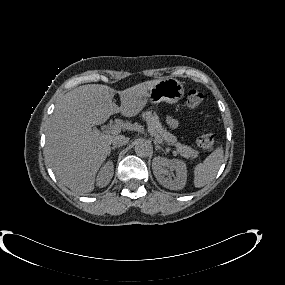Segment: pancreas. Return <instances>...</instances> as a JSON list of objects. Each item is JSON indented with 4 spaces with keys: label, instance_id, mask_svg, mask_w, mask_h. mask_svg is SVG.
<instances>
[{
    "label": "pancreas",
    "instance_id": "cf45deb5",
    "mask_svg": "<svg viewBox=\"0 0 285 285\" xmlns=\"http://www.w3.org/2000/svg\"><path fill=\"white\" fill-rule=\"evenodd\" d=\"M142 118L147 122L148 131L152 136L169 145L175 146L177 152L182 157L192 160L198 156V152L190 146L177 142L176 137L162 126L157 114H153L151 111H145L142 114Z\"/></svg>",
    "mask_w": 285,
    "mask_h": 285
}]
</instances>
